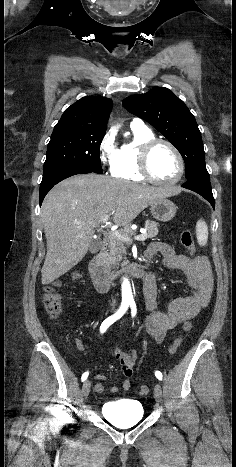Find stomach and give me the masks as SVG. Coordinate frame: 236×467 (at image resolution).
Listing matches in <instances>:
<instances>
[{"mask_svg": "<svg viewBox=\"0 0 236 467\" xmlns=\"http://www.w3.org/2000/svg\"><path fill=\"white\" fill-rule=\"evenodd\" d=\"M152 216L159 221L167 222L174 218L177 207L169 199L163 198L150 205Z\"/></svg>", "mask_w": 236, "mask_h": 467, "instance_id": "obj_1", "label": "stomach"}]
</instances>
